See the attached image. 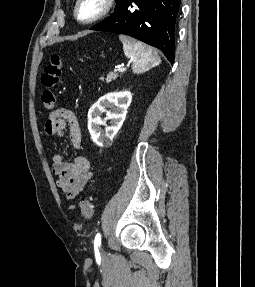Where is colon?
<instances>
[{
  "instance_id": "obj_1",
  "label": "colon",
  "mask_w": 255,
  "mask_h": 287,
  "mask_svg": "<svg viewBox=\"0 0 255 287\" xmlns=\"http://www.w3.org/2000/svg\"><path fill=\"white\" fill-rule=\"evenodd\" d=\"M62 67V59L60 55L53 54L49 60V63L44 69V72L41 76L42 84L47 88L42 93V102L46 109L52 110L56 105V95L53 89L57 86L60 80ZM80 209L82 216L85 219H92L94 216V209L91 199L83 198L80 201Z\"/></svg>"
}]
</instances>
